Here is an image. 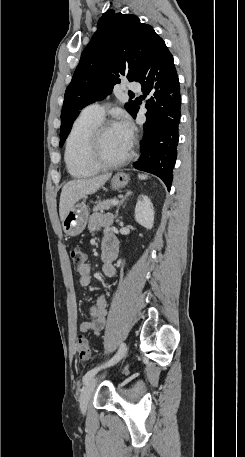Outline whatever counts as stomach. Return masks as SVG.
<instances>
[{
    "label": "stomach",
    "instance_id": "stomach-1",
    "mask_svg": "<svg viewBox=\"0 0 245 457\" xmlns=\"http://www.w3.org/2000/svg\"><path fill=\"white\" fill-rule=\"evenodd\" d=\"M129 180V174H126V172H117V174L111 178L112 188H116V190L124 188ZM88 216L89 210L85 202H77V204H74L62 222L65 235H67V237H76V235H80L88 222Z\"/></svg>",
    "mask_w": 245,
    "mask_h": 457
}]
</instances>
